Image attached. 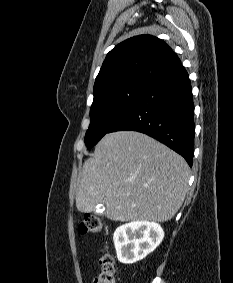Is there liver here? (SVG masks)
<instances>
[{
	"mask_svg": "<svg viewBox=\"0 0 233 283\" xmlns=\"http://www.w3.org/2000/svg\"><path fill=\"white\" fill-rule=\"evenodd\" d=\"M190 169L182 156L136 131L106 134L79 174L76 207L105 204L113 221L165 222L180 209Z\"/></svg>",
	"mask_w": 233,
	"mask_h": 283,
	"instance_id": "6515ba94",
	"label": "liver"
}]
</instances>
